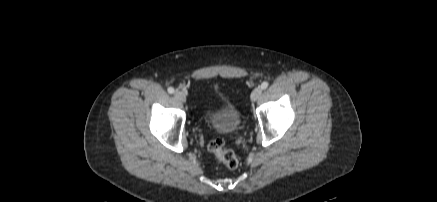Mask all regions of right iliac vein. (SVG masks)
I'll use <instances>...</instances> for the list:
<instances>
[{"instance_id": "right-iliac-vein-1", "label": "right iliac vein", "mask_w": 437, "mask_h": 202, "mask_svg": "<svg viewBox=\"0 0 437 202\" xmlns=\"http://www.w3.org/2000/svg\"><path fill=\"white\" fill-rule=\"evenodd\" d=\"M174 96L178 101L183 102V103L186 102V93L184 91L177 90L174 93Z\"/></svg>"}]
</instances>
